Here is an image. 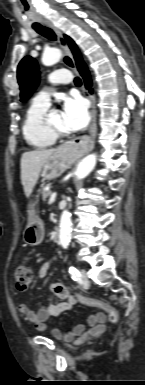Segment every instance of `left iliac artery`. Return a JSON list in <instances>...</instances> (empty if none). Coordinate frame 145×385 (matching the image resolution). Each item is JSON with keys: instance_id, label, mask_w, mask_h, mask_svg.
Listing matches in <instances>:
<instances>
[{"instance_id": "obj_1", "label": "left iliac artery", "mask_w": 145, "mask_h": 385, "mask_svg": "<svg viewBox=\"0 0 145 385\" xmlns=\"http://www.w3.org/2000/svg\"><path fill=\"white\" fill-rule=\"evenodd\" d=\"M69 273H70L71 278L73 280L80 281V273H79V271L75 267L71 266L69 268Z\"/></svg>"}]
</instances>
